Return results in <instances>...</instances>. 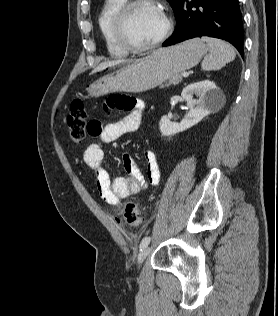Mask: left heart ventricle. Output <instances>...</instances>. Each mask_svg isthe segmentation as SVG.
<instances>
[{"mask_svg":"<svg viewBox=\"0 0 278 316\" xmlns=\"http://www.w3.org/2000/svg\"><path fill=\"white\" fill-rule=\"evenodd\" d=\"M165 22L160 11L148 4L136 7L129 15L127 33L137 45L154 41L164 30Z\"/></svg>","mask_w":278,"mask_h":316,"instance_id":"obj_1","label":"left heart ventricle"}]
</instances>
